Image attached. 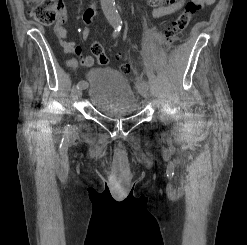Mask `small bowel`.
Instances as JSON below:
<instances>
[{"mask_svg": "<svg viewBox=\"0 0 247 245\" xmlns=\"http://www.w3.org/2000/svg\"><path fill=\"white\" fill-rule=\"evenodd\" d=\"M148 4L153 7L152 15L154 18H162L168 15H172L180 10L186 0H147ZM216 0H197V2L201 6H209L212 5ZM96 14L95 6H90L87 8L83 14V21L85 23V27L81 32V36L84 40L89 37L90 34V25L93 21V18ZM68 17V10L64 6H60L59 8V18L57 23L54 26V32L57 36L61 46L64 51L67 53L74 52L79 57V59L72 58L67 61V64L70 67L76 68L79 65H83L85 67H90L94 64V58L91 55L82 56L81 49L79 46L75 45V43L67 40V31L65 29V22Z\"/></svg>", "mask_w": 247, "mask_h": 245, "instance_id": "small-bowel-1", "label": "small bowel"}]
</instances>
